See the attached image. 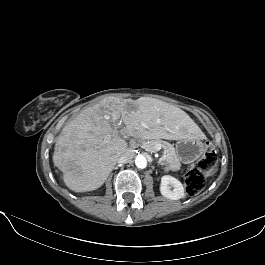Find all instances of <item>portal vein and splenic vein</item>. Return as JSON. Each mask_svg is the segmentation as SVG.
Returning <instances> with one entry per match:
<instances>
[{
    "instance_id": "18ae733b",
    "label": "portal vein and splenic vein",
    "mask_w": 265,
    "mask_h": 265,
    "mask_svg": "<svg viewBox=\"0 0 265 265\" xmlns=\"http://www.w3.org/2000/svg\"><path fill=\"white\" fill-rule=\"evenodd\" d=\"M161 149V146L160 145H157L156 146V150H160Z\"/></svg>"
}]
</instances>
